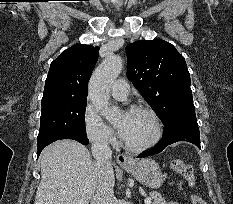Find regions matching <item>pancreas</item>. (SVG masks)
Returning a JSON list of instances; mask_svg holds the SVG:
<instances>
[{"label":"pancreas","instance_id":"cf45deb5","mask_svg":"<svg viewBox=\"0 0 233 204\" xmlns=\"http://www.w3.org/2000/svg\"><path fill=\"white\" fill-rule=\"evenodd\" d=\"M153 203L152 204H167L164 197L161 196L158 192H152L150 194Z\"/></svg>","mask_w":233,"mask_h":204}]
</instances>
